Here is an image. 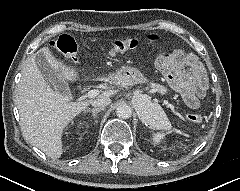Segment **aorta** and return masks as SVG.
<instances>
[{
	"mask_svg": "<svg viewBox=\"0 0 240 191\" xmlns=\"http://www.w3.org/2000/svg\"><path fill=\"white\" fill-rule=\"evenodd\" d=\"M136 100L138 101H142V106L145 108L146 107V103L148 102L144 97L142 96H139V97H136ZM151 102V101H150ZM116 115L119 117V118H122V119H128L131 117L132 115V110H131V107L127 104H121L119 105L117 108H116Z\"/></svg>",
	"mask_w": 240,
	"mask_h": 191,
	"instance_id": "762f6f07",
	"label": "aorta"
}]
</instances>
